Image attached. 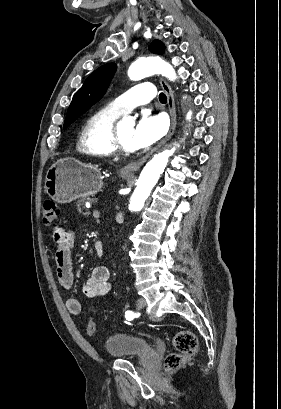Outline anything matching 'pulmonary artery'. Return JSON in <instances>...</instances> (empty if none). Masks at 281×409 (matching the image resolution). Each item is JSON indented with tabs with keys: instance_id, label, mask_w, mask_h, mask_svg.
I'll return each mask as SVG.
<instances>
[{
	"instance_id": "pulmonary-artery-1",
	"label": "pulmonary artery",
	"mask_w": 281,
	"mask_h": 409,
	"mask_svg": "<svg viewBox=\"0 0 281 409\" xmlns=\"http://www.w3.org/2000/svg\"><path fill=\"white\" fill-rule=\"evenodd\" d=\"M151 88L149 81H137L136 86L131 90H123L122 97H115L112 104V111L124 114L129 110H134L136 106L146 105L154 98L155 93Z\"/></svg>"
}]
</instances>
